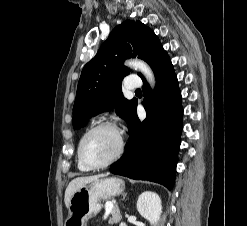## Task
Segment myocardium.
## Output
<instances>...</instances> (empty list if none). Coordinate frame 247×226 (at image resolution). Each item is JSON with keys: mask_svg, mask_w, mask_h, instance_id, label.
<instances>
[{"mask_svg": "<svg viewBox=\"0 0 247 226\" xmlns=\"http://www.w3.org/2000/svg\"><path fill=\"white\" fill-rule=\"evenodd\" d=\"M111 129L113 130L117 136H118V148L116 150V152L114 153V155L107 160L106 162L102 163V164H98V165H92L90 163H88L84 157L83 154V144L85 139L94 131L99 130V129ZM125 149V140L123 137V134L120 130V128L117 126L116 123L112 122V121H102L97 123L96 125L92 126L90 129H88L83 136L81 137L80 141H79V145H78V157L79 160L81 161V163L88 168L89 170H97V169H102V168H106L108 166H110L111 164H113L114 162H116L123 154Z\"/></svg>", "mask_w": 247, "mask_h": 226, "instance_id": "myocardium-1", "label": "myocardium"}]
</instances>
